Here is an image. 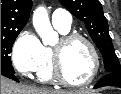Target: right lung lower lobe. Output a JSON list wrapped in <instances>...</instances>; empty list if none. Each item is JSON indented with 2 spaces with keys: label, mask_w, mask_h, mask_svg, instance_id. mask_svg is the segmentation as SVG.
Listing matches in <instances>:
<instances>
[{
  "label": "right lung lower lobe",
  "mask_w": 121,
  "mask_h": 94,
  "mask_svg": "<svg viewBox=\"0 0 121 94\" xmlns=\"http://www.w3.org/2000/svg\"><path fill=\"white\" fill-rule=\"evenodd\" d=\"M1 75L19 82L18 79L16 78V76L14 74H12V73L1 72Z\"/></svg>",
  "instance_id": "obj_1"
}]
</instances>
